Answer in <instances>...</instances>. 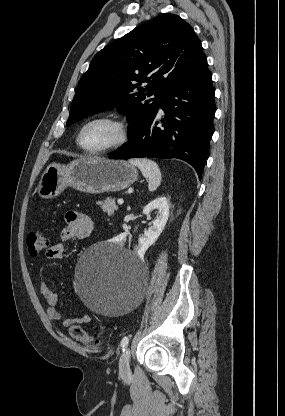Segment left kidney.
I'll return each instance as SVG.
<instances>
[{"instance_id":"obj_1","label":"left kidney","mask_w":285,"mask_h":416,"mask_svg":"<svg viewBox=\"0 0 285 416\" xmlns=\"http://www.w3.org/2000/svg\"><path fill=\"white\" fill-rule=\"evenodd\" d=\"M153 210H158V216L156 220H153V226H150V228L144 232L143 236H140L138 246L134 248L139 256H144L146 250L156 242L166 226V222L169 218V204L167 198H156V200H153V202H150V204L145 206L143 214H146L147 220H151L150 214Z\"/></svg>"}]
</instances>
